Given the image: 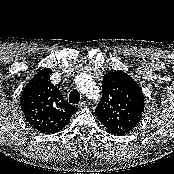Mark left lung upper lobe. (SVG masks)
I'll return each mask as SVG.
<instances>
[{"mask_svg":"<svg viewBox=\"0 0 174 174\" xmlns=\"http://www.w3.org/2000/svg\"><path fill=\"white\" fill-rule=\"evenodd\" d=\"M144 110V96L132 77L123 71L108 72L103 77L102 99L95 114L106 130L125 135L135 128Z\"/></svg>","mask_w":174,"mask_h":174,"instance_id":"left-lung-upper-lobe-1","label":"left lung upper lobe"}]
</instances>
